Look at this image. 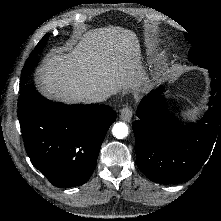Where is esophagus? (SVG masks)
<instances>
[{
  "mask_svg": "<svg viewBox=\"0 0 221 221\" xmlns=\"http://www.w3.org/2000/svg\"><path fill=\"white\" fill-rule=\"evenodd\" d=\"M133 111L131 107L125 106L120 112V118L126 122H130L132 119Z\"/></svg>",
  "mask_w": 221,
  "mask_h": 221,
  "instance_id": "obj_1",
  "label": "esophagus"
}]
</instances>
